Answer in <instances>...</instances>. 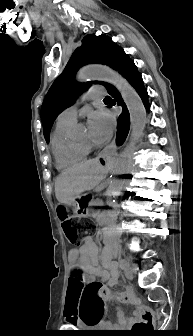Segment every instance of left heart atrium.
<instances>
[{
    "instance_id": "left-heart-atrium-1",
    "label": "left heart atrium",
    "mask_w": 193,
    "mask_h": 336,
    "mask_svg": "<svg viewBox=\"0 0 193 336\" xmlns=\"http://www.w3.org/2000/svg\"><path fill=\"white\" fill-rule=\"evenodd\" d=\"M87 125L90 139L96 143H102L111 135L114 119L109 112L98 110L89 115Z\"/></svg>"
}]
</instances>
